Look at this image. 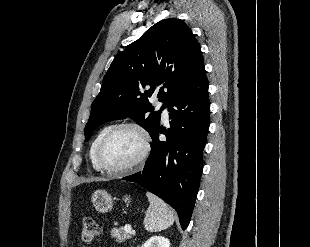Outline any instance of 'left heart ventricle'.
I'll return each instance as SVG.
<instances>
[{"label": "left heart ventricle", "instance_id": "1", "mask_svg": "<svg viewBox=\"0 0 310 247\" xmlns=\"http://www.w3.org/2000/svg\"><path fill=\"white\" fill-rule=\"evenodd\" d=\"M141 137L132 129L114 134L101 152L102 163L109 168H120L136 159L141 151Z\"/></svg>", "mask_w": 310, "mask_h": 247}]
</instances>
